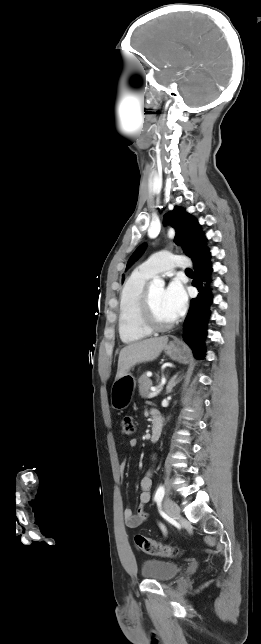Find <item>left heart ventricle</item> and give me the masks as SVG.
Masks as SVG:
<instances>
[{
    "mask_svg": "<svg viewBox=\"0 0 261 644\" xmlns=\"http://www.w3.org/2000/svg\"><path fill=\"white\" fill-rule=\"evenodd\" d=\"M149 292L155 319L160 323H168L173 321V318L167 310L163 300L164 289L159 286H154L149 288Z\"/></svg>",
    "mask_w": 261,
    "mask_h": 644,
    "instance_id": "left-heart-ventricle-1",
    "label": "left heart ventricle"
}]
</instances>
